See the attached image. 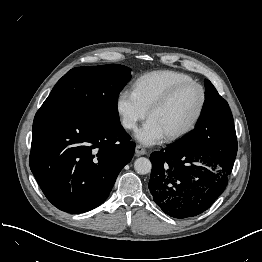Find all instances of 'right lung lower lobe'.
I'll return each mask as SVG.
<instances>
[{
    "label": "right lung lower lobe",
    "mask_w": 262,
    "mask_h": 262,
    "mask_svg": "<svg viewBox=\"0 0 262 262\" xmlns=\"http://www.w3.org/2000/svg\"><path fill=\"white\" fill-rule=\"evenodd\" d=\"M120 123L80 112L41 107L34 118L30 168L47 199L68 213H83L108 197L135 144Z\"/></svg>",
    "instance_id": "1"
}]
</instances>
